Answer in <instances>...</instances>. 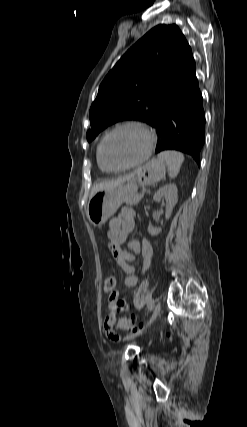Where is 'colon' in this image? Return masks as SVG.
<instances>
[{
  "instance_id": "obj_1",
  "label": "colon",
  "mask_w": 247,
  "mask_h": 427,
  "mask_svg": "<svg viewBox=\"0 0 247 427\" xmlns=\"http://www.w3.org/2000/svg\"><path fill=\"white\" fill-rule=\"evenodd\" d=\"M118 284L117 277L113 274H108L105 277L104 286L109 292H114ZM118 328L124 331H135L137 323L134 316L122 317L118 321Z\"/></svg>"
}]
</instances>
